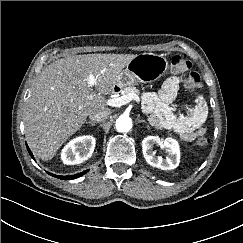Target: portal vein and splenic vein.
<instances>
[{
    "label": "portal vein and splenic vein",
    "mask_w": 243,
    "mask_h": 243,
    "mask_svg": "<svg viewBox=\"0 0 243 243\" xmlns=\"http://www.w3.org/2000/svg\"><path fill=\"white\" fill-rule=\"evenodd\" d=\"M96 83V78L94 75H90L88 77V85L89 87H93ZM132 100H135L136 102H140V98L137 94L130 93L127 95H123L117 98L109 99L107 100V105L112 107H120L122 105L128 104Z\"/></svg>",
    "instance_id": "portal-vein-and-splenic-vein-1"
}]
</instances>
